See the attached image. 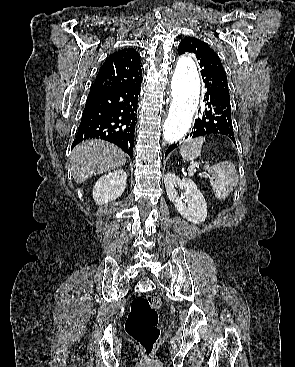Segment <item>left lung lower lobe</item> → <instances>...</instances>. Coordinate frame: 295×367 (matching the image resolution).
Masks as SVG:
<instances>
[{
  "instance_id": "1",
  "label": "left lung lower lobe",
  "mask_w": 295,
  "mask_h": 367,
  "mask_svg": "<svg viewBox=\"0 0 295 367\" xmlns=\"http://www.w3.org/2000/svg\"><path fill=\"white\" fill-rule=\"evenodd\" d=\"M204 100L208 109L203 112L201 118L195 120L194 129L187 137L196 138L209 134H221L229 137L235 143L229 93L208 89ZM177 146V143L170 145L165 157Z\"/></svg>"
}]
</instances>
